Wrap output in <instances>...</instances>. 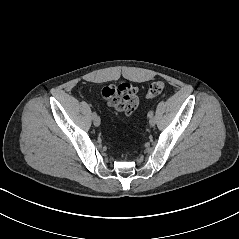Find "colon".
Masks as SVG:
<instances>
[{"label": "colon", "mask_w": 239, "mask_h": 239, "mask_svg": "<svg viewBox=\"0 0 239 239\" xmlns=\"http://www.w3.org/2000/svg\"><path fill=\"white\" fill-rule=\"evenodd\" d=\"M165 87V83L163 81L153 82L147 92V98H153L159 95Z\"/></svg>", "instance_id": "5ec220e1"}]
</instances>
